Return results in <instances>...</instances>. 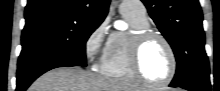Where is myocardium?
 I'll use <instances>...</instances> for the list:
<instances>
[{"label":"myocardium","mask_w":220,"mask_h":91,"mask_svg":"<svg viewBox=\"0 0 220 91\" xmlns=\"http://www.w3.org/2000/svg\"><path fill=\"white\" fill-rule=\"evenodd\" d=\"M153 39H158L164 44L171 60L170 72L168 76L160 82H154L147 79L141 70L140 59L142 49L147 42ZM128 60L130 69L133 75L135 76L136 80L147 87H164L168 85L176 75L177 57L173 46L165 36L152 30H144L131 35L129 39Z\"/></svg>","instance_id":"1"}]
</instances>
